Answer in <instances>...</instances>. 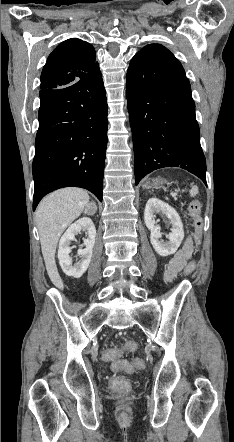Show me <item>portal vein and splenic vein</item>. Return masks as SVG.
<instances>
[{
  "mask_svg": "<svg viewBox=\"0 0 234 442\" xmlns=\"http://www.w3.org/2000/svg\"><path fill=\"white\" fill-rule=\"evenodd\" d=\"M178 194H179V192H177V191L171 192V196L173 198H175Z\"/></svg>",
  "mask_w": 234,
  "mask_h": 442,
  "instance_id": "1",
  "label": "portal vein and splenic vein"
}]
</instances>
